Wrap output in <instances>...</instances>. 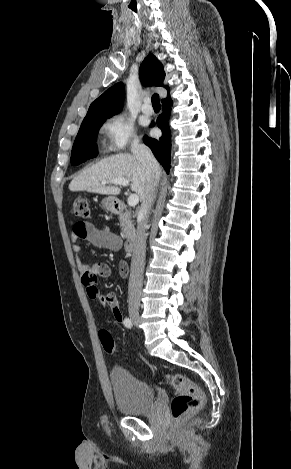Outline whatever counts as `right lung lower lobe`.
I'll return each instance as SVG.
<instances>
[{
	"label": "right lung lower lobe",
	"instance_id": "right-lung-lower-lobe-1",
	"mask_svg": "<svg viewBox=\"0 0 291 469\" xmlns=\"http://www.w3.org/2000/svg\"><path fill=\"white\" fill-rule=\"evenodd\" d=\"M163 111L157 118L156 124L162 131V137L153 139L145 136L144 143L152 150L156 159L161 163L167 173L170 169V151H171V135L168 127V119L171 113L172 100L169 96L162 100ZM154 122L151 126H154Z\"/></svg>",
	"mask_w": 291,
	"mask_h": 469
}]
</instances>
